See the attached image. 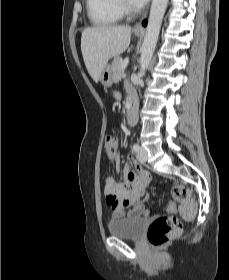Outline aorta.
<instances>
[{
	"instance_id": "obj_1",
	"label": "aorta",
	"mask_w": 229,
	"mask_h": 280,
	"mask_svg": "<svg viewBox=\"0 0 229 280\" xmlns=\"http://www.w3.org/2000/svg\"><path fill=\"white\" fill-rule=\"evenodd\" d=\"M167 4L168 0H152L146 34L141 47V75H144L153 56Z\"/></svg>"
}]
</instances>
